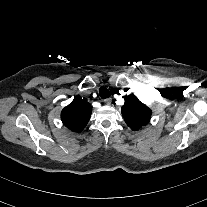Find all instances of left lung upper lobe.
<instances>
[{
  "label": "left lung upper lobe",
  "instance_id": "5c2ea615",
  "mask_svg": "<svg viewBox=\"0 0 207 207\" xmlns=\"http://www.w3.org/2000/svg\"><path fill=\"white\" fill-rule=\"evenodd\" d=\"M121 112L126 124L134 131L149 123L151 110L134 95L126 96Z\"/></svg>",
  "mask_w": 207,
  "mask_h": 207
}]
</instances>
